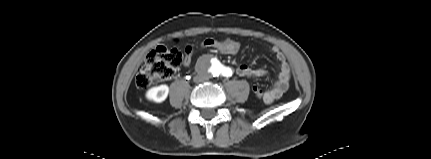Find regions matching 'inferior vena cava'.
Masks as SVG:
<instances>
[{"instance_id":"1","label":"inferior vena cava","mask_w":431,"mask_h":159,"mask_svg":"<svg viewBox=\"0 0 431 159\" xmlns=\"http://www.w3.org/2000/svg\"><path fill=\"white\" fill-rule=\"evenodd\" d=\"M194 82L199 83V82H203L204 80H206V76L204 75H196L193 78Z\"/></svg>"}]
</instances>
